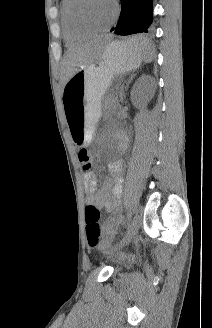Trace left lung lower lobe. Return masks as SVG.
<instances>
[{"label":"left lung lower lobe","mask_w":212,"mask_h":328,"mask_svg":"<svg viewBox=\"0 0 212 328\" xmlns=\"http://www.w3.org/2000/svg\"><path fill=\"white\" fill-rule=\"evenodd\" d=\"M153 21L152 0H121V14L115 28L111 29L117 35H130L147 33V29ZM148 44L146 39H141L131 47L145 48Z\"/></svg>","instance_id":"0a47b994"}]
</instances>
